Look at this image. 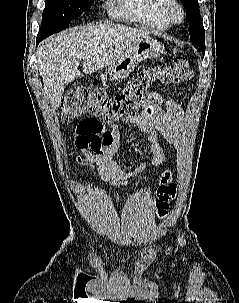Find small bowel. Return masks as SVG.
<instances>
[{
	"label": "small bowel",
	"instance_id": "c3829d8e",
	"mask_svg": "<svg viewBox=\"0 0 239 303\" xmlns=\"http://www.w3.org/2000/svg\"><path fill=\"white\" fill-rule=\"evenodd\" d=\"M163 96L160 92L151 93L143 111L127 120L130 125L137 127L151 143L153 153L152 166L158 167L167 161V153L160 143V136L172 146L179 142L178 123L175 117L179 111L175 104L168 103L169 115L161 110ZM97 122L95 118H87L81 121L75 131L73 143L76 149L83 152V164L89 169H97L103 182L113 186L125 185L132 178L142 175L146 164H139L134 170H124L115 159L122 142L123 135L114 124H109L99 131H92L88 128L90 124ZM94 151H86L87 147ZM173 178L171 170H165L160 178V187L170 184Z\"/></svg>",
	"mask_w": 239,
	"mask_h": 303
}]
</instances>
